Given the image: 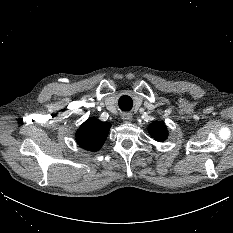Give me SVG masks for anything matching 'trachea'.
Wrapping results in <instances>:
<instances>
[{"label": "trachea", "mask_w": 233, "mask_h": 233, "mask_svg": "<svg viewBox=\"0 0 233 233\" xmlns=\"http://www.w3.org/2000/svg\"><path fill=\"white\" fill-rule=\"evenodd\" d=\"M119 107L123 111H130L132 108V100L128 96H124L119 101Z\"/></svg>", "instance_id": "trachea-1"}]
</instances>
